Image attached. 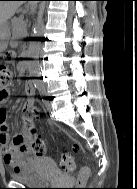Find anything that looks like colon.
Returning a JSON list of instances; mask_svg holds the SVG:
<instances>
[{
    "label": "colon",
    "instance_id": "1",
    "mask_svg": "<svg viewBox=\"0 0 137 189\" xmlns=\"http://www.w3.org/2000/svg\"><path fill=\"white\" fill-rule=\"evenodd\" d=\"M13 71L12 69L5 65L0 64V98H5L7 96L6 89L13 81ZM41 108L34 103L26 108V113L29 117H36L40 114ZM32 134L27 137L24 141L25 146L37 156H42L45 153V143L38 137L34 131L31 129ZM61 169L63 172L72 173L75 170L74 158L68 154L63 155L61 159ZM88 172H85L83 176H87Z\"/></svg>",
    "mask_w": 137,
    "mask_h": 189
}]
</instances>
